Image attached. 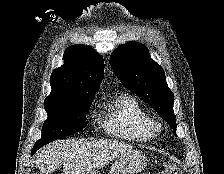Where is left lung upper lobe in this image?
Segmentation results:
<instances>
[{
  "label": "left lung upper lobe",
  "instance_id": "5c2ea615",
  "mask_svg": "<svg viewBox=\"0 0 224 174\" xmlns=\"http://www.w3.org/2000/svg\"><path fill=\"white\" fill-rule=\"evenodd\" d=\"M111 65L122 84L151 105L176 132L173 93L162 67L151 59L148 49L136 42L122 45L112 53Z\"/></svg>",
  "mask_w": 224,
  "mask_h": 174
}]
</instances>
